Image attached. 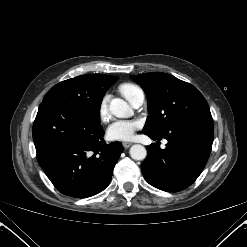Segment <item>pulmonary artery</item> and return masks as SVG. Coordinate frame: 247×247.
<instances>
[{"label":"pulmonary artery","mask_w":247,"mask_h":247,"mask_svg":"<svg viewBox=\"0 0 247 247\" xmlns=\"http://www.w3.org/2000/svg\"><path fill=\"white\" fill-rule=\"evenodd\" d=\"M144 100V93L142 91H139L133 96V98L129 102L133 107L138 108L144 103Z\"/></svg>","instance_id":"1"}]
</instances>
